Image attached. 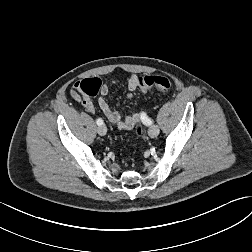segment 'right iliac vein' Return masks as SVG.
I'll return each instance as SVG.
<instances>
[{
    "label": "right iliac vein",
    "mask_w": 252,
    "mask_h": 252,
    "mask_svg": "<svg viewBox=\"0 0 252 252\" xmlns=\"http://www.w3.org/2000/svg\"><path fill=\"white\" fill-rule=\"evenodd\" d=\"M97 132H98V134L101 135V136L105 135L106 132H107L106 126H105V125L99 126L98 129H97Z\"/></svg>",
    "instance_id": "obj_1"
}]
</instances>
